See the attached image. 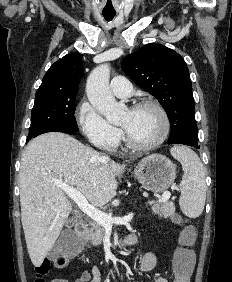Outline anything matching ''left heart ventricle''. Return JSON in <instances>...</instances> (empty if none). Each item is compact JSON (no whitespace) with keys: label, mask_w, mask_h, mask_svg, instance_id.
I'll list each match as a JSON object with an SVG mask.
<instances>
[{"label":"left heart ventricle","mask_w":232,"mask_h":282,"mask_svg":"<svg viewBox=\"0 0 232 282\" xmlns=\"http://www.w3.org/2000/svg\"><path fill=\"white\" fill-rule=\"evenodd\" d=\"M120 125L125 129L129 137L139 144H146L156 140L163 129L160 114L150 107L126 111Z\"/></svg>","instance_id":"b2bd125f"}]
</instances>
